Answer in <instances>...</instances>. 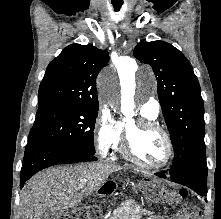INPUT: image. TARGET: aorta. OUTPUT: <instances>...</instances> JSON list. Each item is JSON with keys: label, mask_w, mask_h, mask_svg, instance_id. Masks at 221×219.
<instances>
[{"label": "aorta", "mask_w": 221, "mask_h": 219, "mask_svg": "<svg viewBox=\"0 0 221 219\" xmlns=\"http://www.w3.org/2000/svg\"><path fill=\"white\" fill-rule=\"evenodd\" d=\"M121 70L126 72L128 75H132L136 69V63L131 58H124L121 61ZM116 81L114 76L109 74H103L100 78V92L101 96L104 99H107L110 102L121 103V111L127 117H132L134 112V100H133V92L130 93L126 98L118 97L116 91Z\"/></svg>", "instance_id": "obj_1"}]
</instances>
